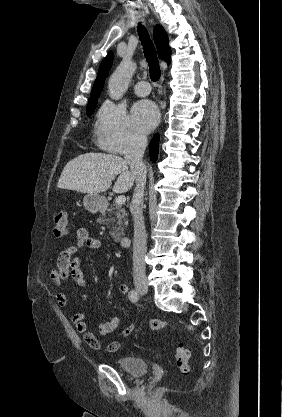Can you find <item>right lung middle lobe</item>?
<instances>
[{
	"instance_id": "1",
	"label": "right lung middle lobe",
	"mask_w": 282,
	"mask_h": 417,
	"mask_svg": "<svg viewBox=\"0 0 282 417\" xmlns=\"http://www.w3.org/2000/svg\"><path fill=\"white\" fill-rule=\"evenodd\" d=\"M98 96L99 95H94V96L90 97L89 103H88V106H87V109H86V112H87L88 116L91 115L94 112V110L96 108V105H97Z\"/></svg>"
}]
</instances>
